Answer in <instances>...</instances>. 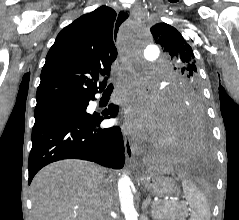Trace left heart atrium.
Returning a JSON list of instances; mask_svg holds the SVG:
<instances>
[{
    "mask_svg": "<svg viewBox=\"0 0 239 220\" xmlns=\"http://www.w3.org/2000/svg\"><path fill=\"white\" fill-rule=\"evenodd\" d=\"M123 101L125 104V113L128 117L135 114H142L143 117L135 122L128 120L130 127L136 131L142 133L146 131L153 130L156 126V118L153 115L154 107L151 103L139 96H123Z\"/></svg>",
    "mask_w": 239,
    "mask_h": 220,
    "instance_id": "left-heart-atrium-1",
    "label": "left heart atrium"
}]
</instances>
